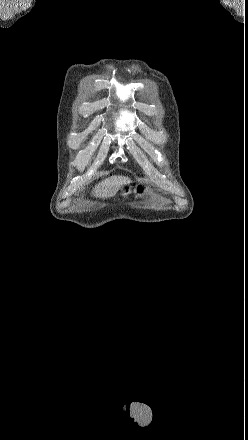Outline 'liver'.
Returning <instances> with one entry per match:
<instances>
[{"mask_svg": "<svg viewBox=\"0 0 248 440\" xmlns=\"http://www.w3.org/2000/svg\"><path fill=\"white\" fill-rule=\"evenodd\" d=\"M131 182V179L125 176H111L96 185L92 193L94 196L100 198L111 197L116 191L121 189V187Z\"/></svg>", "mask_w": 248, "mask_h": 440, "instance_id": "obj_1", "label": "liver"}]
</instances>
